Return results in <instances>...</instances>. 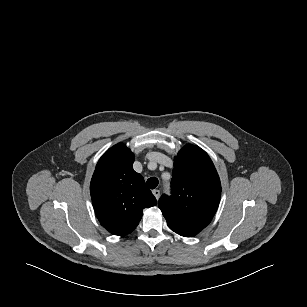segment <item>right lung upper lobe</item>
<instances>
[{"label": "right lung upper lobe", "mask_w": 307, "mask_h": 307, "mask_svg": "<svg viewBox=\"0 0 307 307\" xmlns=\"http://www.w3.org/2000/svg\"><path fill=\"white\" fill-rule=\"evenodd\" d=\"M134 159L130 149L118 143L100 158L91 180L96 216L114 235L131 233L141 220L143 209L157 204L143 177L133 170Z\"/></svg>", "instance_id": "right-lung-upper-lobe-1"}]
</instances>
